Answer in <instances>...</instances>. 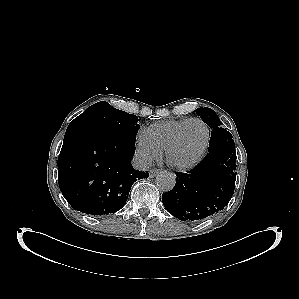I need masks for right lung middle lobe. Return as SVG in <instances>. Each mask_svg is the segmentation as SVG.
Here are the masks:
<instances>
[{"label": "right lung middle lobe", "instance_id": "dd1d6c3e", "mask_svg": "<svg viewBox=\"0 0 299 299\" xmlns=\"http://www.w3.org/2000/svg\"><path fill=\"white\" fill-rule=\"evenodd\" d=\"M137 122L136 115L118 110L107 102H98L76 117L69 124L65 135L101 132L136 135L139 129Z\"/></svg>", "mask_w": 299, "mask_h": 299}]
</instances>
